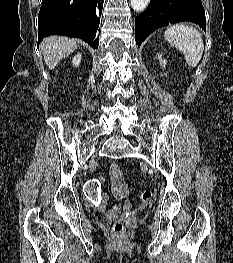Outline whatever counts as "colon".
<instances>
[{
  "label": "colon",
  "mask_w": 233,
  "mask_h": 263,
  "mask_svg": "<svg viewBox=\"0 0 233 263\" xmlns=\"http://www.w3.org/2000/svg\"><path fill=\"white\" fill-rule=\"evenodd\" d=\"M101 182L99 178H90L89 182H85V199H88L89 205L92 207L94 205H98V202L101 201L103 190L100 188ZM141 201L143 204L147 205L150 203L152 194L149 191H143L140 195ZM125 227L122 221H116L112 226L113 235L116 237H120L124 233Z\"/></svg>",
  "instance_id": "obj_1"
}]
</instances>
